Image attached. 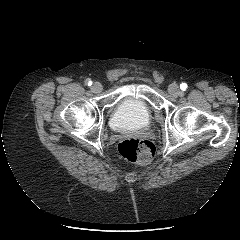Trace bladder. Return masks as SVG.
<instances>
[{
	"label": "bladder",
	"mask_w": 240,
	"mask_h": 240,
	"mask_svg": "<svg viewBox=\"0 0 240 240\" xmlns=\"http://www.w3.org/2000/svg\"><path fill=\"white\" fill-rule=\"evenodd\" d=\"M152 110L143 100L135 97L122 99L110 116V125L116 130L142 129L149 126Z\"/></svg>",
	"instance_id": "31cf9c89"
}]
</instances>
